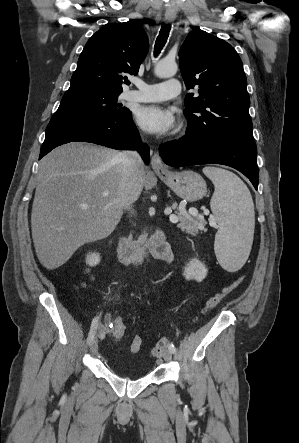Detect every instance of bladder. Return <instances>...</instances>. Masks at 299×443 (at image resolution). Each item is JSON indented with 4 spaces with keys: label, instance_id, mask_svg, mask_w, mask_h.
<instances>
[{
    "label": "bladder",
    "instance_id": "obj_1",
    "mask_svg": "<svg viewBox=\"0 0 299 443\" xmlns=\"http://www.w3.org/2000/svg\"><path fill=\"white\" fill-rule=\"evenodd\" d=\"M130 365L126 369L116 367L115 365L110 366V370L118 376L128 378V379H139L145 376L146 371L141 364H134L129 362Z\"/></svg>",
    "mask_w": 299,
    "mask_h": 443
}]
</instances>
